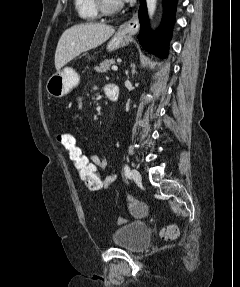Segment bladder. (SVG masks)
<instances>
[{
	"mask_svg": "<svg viewBox=\"0 0 240 287\" xmlns=\"http://www.w3.org/2000/svg\"><path fill=\"white\" fill-rule=\"evenodd\" d=\"M111 242L117 247L137 253L149 245L150 229L144 222L133 221L117 228Z\"/></svg>",
	"mask_w": 240,
	"mask_h": 287,
	"instance_id": "obj_1",
	"label": "bladder"
}]
</instances>
